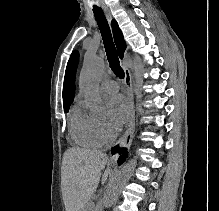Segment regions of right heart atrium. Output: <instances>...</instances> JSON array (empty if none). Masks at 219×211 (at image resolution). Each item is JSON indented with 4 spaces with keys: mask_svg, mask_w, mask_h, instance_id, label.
I'll return each mask as SVG.
<instances>
[{
    "mask_svg": "<svg viewBox=\"0 0 219 211\" xmlns=\"http://www.w3.org/2000/svg\"><path fill=\"white\" fill-rule=\"evenodd\" d=\"M97 129L102 144L110 145L114 141L115 131L107 121H98Z\"/></svg>",
    "mask_w": 219,
    "mask_h": 211,
    "instance_id": "1",
    "label": "right heart atrium"
}]
</instances>
